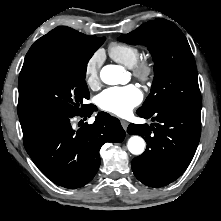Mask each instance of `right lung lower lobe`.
Returning a JSON list of instances; mask_svg holds the SVG:
<instances>
[{
    "instance_id": "right-lung-lower-lobe-1",
    "label": "right lung lower lobe",
    "mask_w": 221,
    "mask_h": 221,
    "mask_svg": "<svg viewBox=\"0 0 221 221\" xmlns=\"http://www.w3.org/2000/svg\"><path fill=\"white\" fill-rule=\"evenodd\" d=\"M96 107L89 104L78 114L56 113L21 122L24 147L40 171L65 188L90 182L100 166L99 151L106 142H122L125 131L120 121L100 112L93 124L74 130V116L90 117Z\"/></svg>"
}]
</instances>
